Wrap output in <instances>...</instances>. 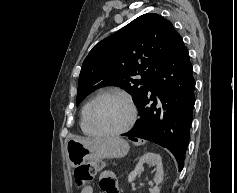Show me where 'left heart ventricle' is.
Masks as SVG:
<instances>
[{"instance_id":"obj_1","label":"left heart ventricle","mask_w":237,"mask_h":193,"mask_svg":"<svg viewBox=\"0 0 237 193\" xmlns=\"http://www.w3.org/2000/svg\"><path fill=\"white\" fill-rule=\"evenodd\" d=\"M130 112L124 102L115 97H104L94 106L92 117L95 125L104 131L123 128L129 120Z\"/></svg>"}]
</instances>
